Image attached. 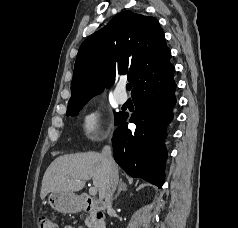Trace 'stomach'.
<instances>
[{
  "label": "stomach",
  "mask_w": 238,
  "mask_h": 228,
  "mask_svg": "<svg viewBox=\"0 0 238 228\" xmlns=\"http://www.w3.org/2000/svg\"><path fill=\"white\" fill-rule=\"evenodd\" d=\"M50 206L61 213H73L80 209V200L73 192H51L48 198Z\"/></svg>",
  "instance_id": "obj_1"
}]
</instances>
